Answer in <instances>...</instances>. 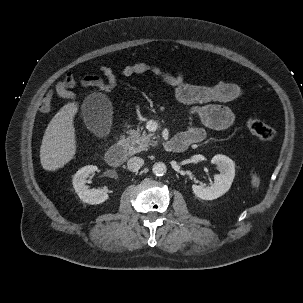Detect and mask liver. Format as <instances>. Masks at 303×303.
<instances>
[{
  "mask_svg": "<svg viewBox=\"0 0 303 303\" xmlns=\"http://www.w3.org/2000/svg\"><path fill=\"white\" fill-rule=\"evenodd\" d=\"M77 112L78 103L69 102L48 124L40 148V162L44 170L56 171L75 157L77 142L74 117Z\"/></svg>",
  "mask_w": 303,
  "mask_h": 303,
  "instance_id": "1",
  "label": "liver"
}]
</instances>
